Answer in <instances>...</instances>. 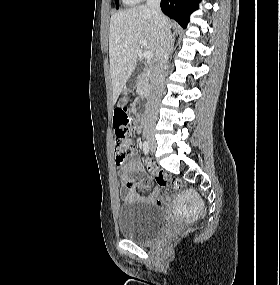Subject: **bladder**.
Returning <instances> with one entry per match:
<instances>
[{
  "mask_svg": "<svg viewBox=\"0 0 280 285\" xmlns=\"http://www.w3.org/2000/svg\"><path fill=\"white\" fill-rule=\"evenodd\" d=\"M117 221L120 235L138 243L157 236L167 222L160 209L142 200L122 203Z\"/></svg>",
  "mask_w": 280,
  "mask_h": 285,
  "instance_id": "bladder-1",
  "label": "bladder"
}]
</instances>
